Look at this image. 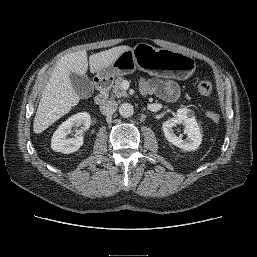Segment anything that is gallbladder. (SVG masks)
<instances>
[{"mask_svg":"<svg viewBox=\"0 0 257 257\" xmlns=\"http://www.w3.org/2000/svg\"><path fill=\"white\" fill-rule=\"evenodd\" d=\"M70 79L74 91L80 98H88L93 94L94 85L87 75L79 76L72 73Z\"/></svg>","mask_w":257,"mask_h":257,"instance_id":"1","label":"gallbladder"}]
</instances>
